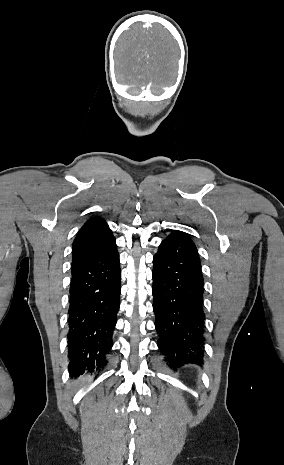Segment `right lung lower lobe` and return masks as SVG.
<instances>
[{"instance_id":"obj_1","label":"right lung lower lobe","mask_w":284,"mask_h":465,"mask_svg":"<svg viewBox=\"0 0 284 465\" xmlns=\"http://www.w3.org/2000/svg\"><path fill=\"white\" fill-rule=\"evenodd\" d=\"M113 237L72 262L68 356L71 374L107 363L120 306L121 270Z\"/></svg>"}]
</instances>
